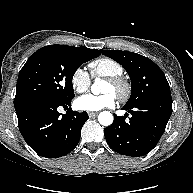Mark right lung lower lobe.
<instances>
[{
    "mask_svg": "<svg viewBox=\"0 0 193 193\" xmlns=\"http://www.w3.org/2000/svg\"><path fill=\"white\" fill-rule=\"evenodd\" d=\"M71 105L53 98H42L16 109L19 130L26 143L46 158L61 157L71 152L80 140L86 112L61 114L59 106Z\"/></svg>",
    "mask_w": 193,
    "mask_h": 193,
    "instance_id": "obj_1",
    "label": "right lung lower lobe"
}]
</instances>
